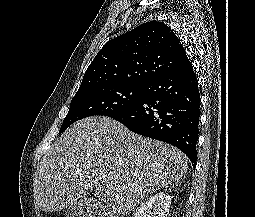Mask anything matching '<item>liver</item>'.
<instances>
[{
	"mask_svg": "<svg viewBox=\"0 0 255 217\" xmlns=\"http://www.w3.org/2000/svg\"><path fill=\"white\" fill-rule=\"evenodd\" d=\"M187 170L188 158L174 146L109 117H89L68 128L41 159L34 201L56 212L89 198L99 217H118Z\"/></svg>",
	"mask_w": 255,
	"mask_h": 217,
	"instance_id": "obj_1",
	"label": "liver"
}]
</instances>
